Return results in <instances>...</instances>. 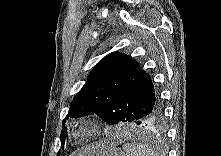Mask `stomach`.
<instances>
[{
  "label": "stomach",
  "instance_id": "1",
  "mask_svg": "<svg viewBox=\"0 0 221 156\" xmlns=\"http://www.w3.org/2000/svg\"><path fill=\"white\" fill-rule=\"evenodd\" d=\"M94 155L96 156H125L123 151L117 148H113V147H105L102 150H98Z\"/></svg>",
  "mask_w": 221,
  "mask_h": 156
}]
</instances>
